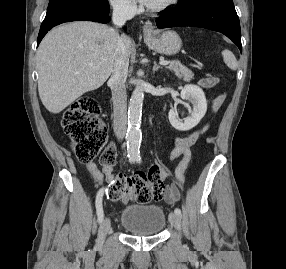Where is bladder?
<instances>
[{
  "label": "bladder",
  "mask_w": 286,
  "mask_h": 269,
  "mask_svg": "<svg viewBox=\"0 0 286 269\" xmlns=\"http://www.w3.org/2000/svg\"><path fill=\"white\" fill-rule=\"evenodd\" d=\"M120 225L138 235H156L166 226V214L157 205L132 204L122 209Z\"/></svg>",
  "instance_id": "obj_1"
}]
</instances>
